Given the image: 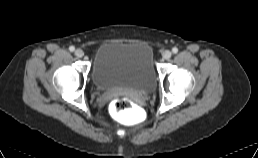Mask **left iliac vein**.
I'll use <instances>...</instances> for the list:
<instances>
[{
	"label": "left iliac vein",
	"instance_id": "left-iliac-vein-1",
	"mask_svg": "<svg viewBox=\"0 0 258 158\" xmlns=\"http://www.w3.org/2000/svg\"><path fill=\"white\" fill-rule=\"evenodd\" d=\"M171 55H172V53H171L169 50H165V51L163 52V54H162V56H163V58H164L165 60L170 59Z\"/></svg>",
	"mask_w": 258,
	"mask_h": 158
}]
</instances>
